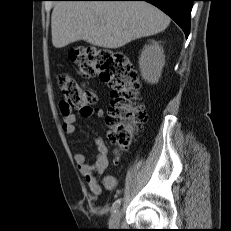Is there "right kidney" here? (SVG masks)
<instances>
[{"mask_svg": "<svg viewBox=\"0 0 231 231\" xmlns=\"http://www.w3.org/2000/svg\"><path fill=\"white\" fill-rule=\"evenodd\" d=\"M164 64V51L159 43L152 41L150 45H145L139 58V68L142 78L148 83H157Z\"/></svg>", "mask_w": 231, "mask_h": 231, "instance_id": "ca27d5eb", "label": "right kidney"}]
</instances>
